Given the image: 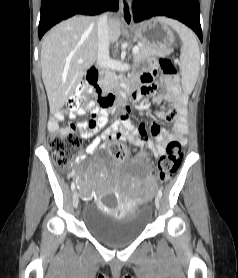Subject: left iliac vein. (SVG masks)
I'll list each match as a JSON object with an SVG mask.
<instances>
[{
	"mask_svg": "<svg viewBox=\"0 0 238 278\" xmlns=\"http://www.w3.org/2000/svg\"><path fill=\"white\" fill-rule=\"evenodd\" d=\"M155 206L157 209H159V206H160V198L159 197H156V199H155Z\"/></svg>",
	"mask_w": 238,
	"mask_h": 278,
	"instance_id": "obj_1",
	"label": "left iliac vein"
}]
</instances>
